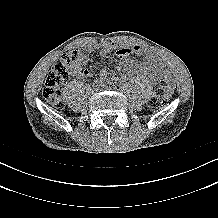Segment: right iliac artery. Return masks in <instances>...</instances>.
<instances>
[{"mask_svg":"<svg viewBox=\"0 0 218 218\" xmlns=\"http://www.w3.org/2000/svg\"><path fill=\"white\" fill-rule=\"evenodd\" d=\"M102 80H103V78H101L100 80H98V81H96L94 84H97V83H102Z\"/></svg>","mask_w":218,"mask_h":218,"instance_id":"82829eb1","label":"right iliac artery"}]
</instances>
